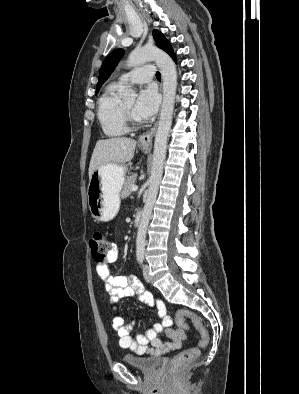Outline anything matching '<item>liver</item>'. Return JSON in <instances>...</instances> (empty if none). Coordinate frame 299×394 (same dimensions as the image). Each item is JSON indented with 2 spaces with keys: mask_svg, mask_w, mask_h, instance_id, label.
<instances>
[{
  "mask_svg": "<svg viewBox=\"0 0 299 394\" xmlns=\"http://www.w3.org/2000/svg\"><path fill=\"white\" fill-rule=\"evenodd\" d=\"M136 141L126 137L102 139L96 142L89 165V178L104 164H124L134 157Z\"/></svg>",
  "mask_w": 299,
  "mask_h": 394,
  "instance_id": "6515ba94",
  "label": "liver"
}]
</instances>
